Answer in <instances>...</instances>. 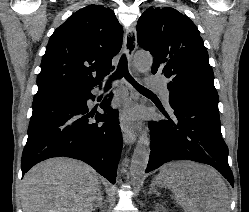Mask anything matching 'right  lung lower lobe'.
Here are the masks:
<instances>
[{"instance_id":"right-lung-lower-lobe-1","label":"right lung lower lobe","mask_w":249,"mask_h":212,"mask_svg":"<svg viewBox=\"0 0 249 212\" xmlns=\"http://www.w3.org/2000/svg\"><path fill=\"white\" fill-rule=\"evenodd\" d=\"M93 88L34 98L21 161L22 175L40 161L65 156L86 162L115 183L122 149L118 111L110 106L113 96L110 93L100 105L106 114L96 112V123L89 122L87 118L94 113L86 114L89 111L87 101L95 98L91 94Z\"/></svg>"}]
</instances>
